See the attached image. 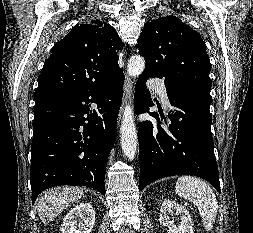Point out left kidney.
Returning a JSON list of instances; mask_svg holds the SVG:
<instances>
[{
	"label": "left kidney",
	"instance_id": "1",
	"mask_svg": "<svg viewBox=\"0 0 253 233\" xmlns=\"http://www.w3.org/2000/svg\"><path fill=\"white\" fill-rule=\"evenodd\" d=\"M175 214L180 218L178 225L170 220L168 214ZM159 222L168 227L167 233H193V223L189 212L173 200H165L160 208Z\"/></svg>",
	"mask_w": 253,
	"mask_h": 233
}]
</instances>
